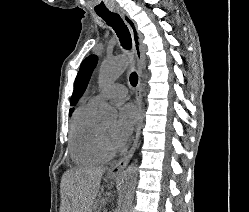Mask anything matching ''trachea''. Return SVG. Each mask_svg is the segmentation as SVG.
Segmentation results:
<instances>
[{
    "mask_svg": "<svg viewBox=\"0 0 249 212\" xmlns=\"http://www.w3.org/2000/svg\"><path fill=\"white\" fill-rule=\"evenodd\" d=\"M97 15H99V17H101L107 23V25L113 27L116 34L118 35L122 47H124L125 49H131L132 41L129 30L118 13L107 12L98 13ZM129 80L131 85L135 87L138 83L137 73H131Z\"/></svg>",
    "mask_w": 249,
    "mask_h": 212,
    "instance_id": "obj_1",
    "label": "trachea"
}]
</instances>
